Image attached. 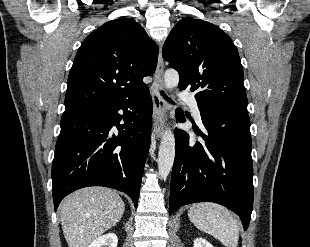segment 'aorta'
<instances>
[{
	"instance_id": "762f6f07",
	"label": "aorta",
	"mask_w": 310,
	"mask_h": 247,
	"mask_svg": "<svg viewBox=\"0 0 310 247\" xmlns=\"http://www.w3.org/2000/svg\"><path fill=\"white\" fill-rule=\"evenodd\" d=\"M167 89L176 87L179 83V74L173 69H169L164 75ZM175 158V137L170 129L165 130L158 152V173L161 179H166L170 174Z\"/></svg>"
}]
</instances>
